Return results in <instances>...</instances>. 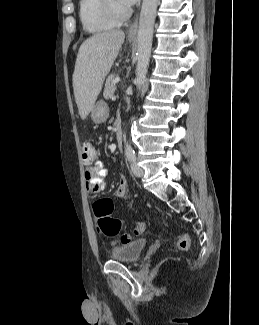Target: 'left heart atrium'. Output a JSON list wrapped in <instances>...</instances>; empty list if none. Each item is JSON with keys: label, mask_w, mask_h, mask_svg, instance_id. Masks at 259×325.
<instances>
[{"label": "left heart atrium", "mask_w": 259, "mask_h": 325, "mask_svg": "<svg viewBox=\"0 0 259 325\" xmlns=\"http://www.w3.org/2000/svg\"><path fill=\"white\" fill-rule=\"evenodd\" d=\"M126 6L134 4L137 0H121Z\"/></svg>", "instance_id": "1"}]
</instances>
